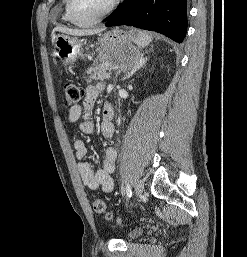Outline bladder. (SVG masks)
Segmentation results:
<instances>
[{"mask_svg":"<svg viewBox=\"0 0 247 257\" xmlns=\"http://www.w3.org/2000/svg\"><path fill=\"white\" fill-rule=\"evenodd\" d=\"M143 233H144L143 228H140V227L139 228H134L126 234V238L129 239V240H133V239H136V238L140 237Z\"/></svg>","mask_w":247,"mask_h":257,"instance_id":"bladder-1","label":"bladder"}]
</instances>
